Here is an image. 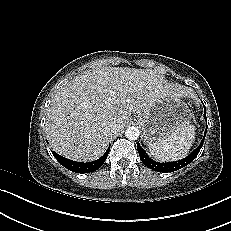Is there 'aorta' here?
<instances>
[{
  "mask_svg": "<svg viewBox=\"0 0 231 231\" xmlns=\"http://www.w3.org/2000/svg\"><path fill=\"white\" fill-rule=\"evenodd\" d=\"M125 136L129 140H137L140 136V131L137 127H128L125 131Z\"/></svg>",
  "mask_w": 231,
  "mask_h": 231,
  "instance_id": "762f6f07",
  "label": "aorta"
}]
</instances>
